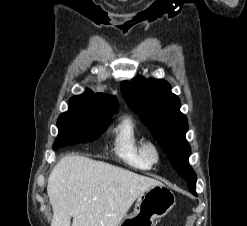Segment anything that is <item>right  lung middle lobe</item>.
I'll return each mask as SVG.
<instances>
[{"instance_id":"right-lung-middle-lobe-1","label":"right lung middle lobe","mask_w":247,"mask_h":226,"mask_svg":"<svg viewBox=\"0 0 247 226\" xmlns=\"http://www.w3.org/2000/svg\"><path fill=\"white\" fill-rule=\"evenodd\" d=\"M112 116L100 115L97 104L91 100L82 96L72 97L69 100V110L58 118L59 134L53 148L91 142L99 138L109 125Z\"/></svg>"}]
</instances>
